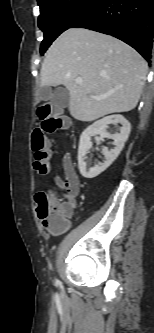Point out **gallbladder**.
<instances>
[{"instance_id":"obj_1","label":"gallbladder","mask_w":154,"mask_h":333,"mask_svg":"<svg viewBox=\"0 0 154 333\" xmlns=\"http://www.w3.org/2000/svg\"><path fill=\"white\" fill-rule=\"evenodd\" d=\"M39 98L43 101L50 100L55 107L63 109L69 103V92L63 87L52 90L49 86H45L40 88Z\"/></svg>"}]
</instances>
